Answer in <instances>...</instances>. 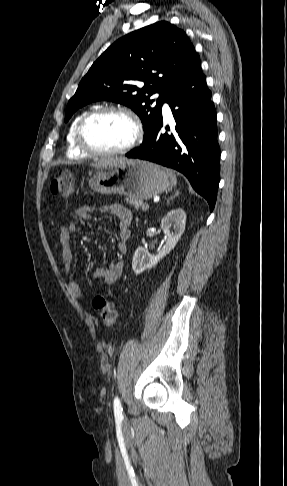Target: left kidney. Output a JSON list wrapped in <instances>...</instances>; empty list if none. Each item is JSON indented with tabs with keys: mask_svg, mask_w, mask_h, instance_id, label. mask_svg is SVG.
<instances>
[{
	"mask_svg": "<svg viewBox=\"0 0 287 486\" xmlns=\"http://www.w3.org/2000/svg\"><path fill=\"white\" fill-rule=\"evenodd\" d=\"M186 224V213L178 208L169 211L161 219V229L166 238V243L156 255H151L144 247H138L133 255L132 268L136 275L156 266L160 259L169 254L181 238Z\"/></svg>",
	"mask_w": 287,
	"mask_h": 486,
	"instance_id": "obj_1",
	"label": "left kidney"
}]
</instances>
